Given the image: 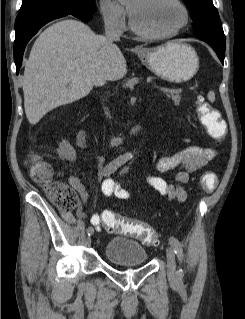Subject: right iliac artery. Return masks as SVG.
Instances as JSON below:
<instances>
[{
    "label": "right iliac artery",
    "mask_w": 245,
    "mask_h": 319,
    "mask_svg": "<svg viewBox=\"0 0 245 319\" xmlns=\"http://www.w3.org/2000/svg\"><path fill=\"white\" fill-rule=\"evenodd\" d=\"M127 156H120L117 159L111 161L109 164H107L103 170V176L107 177L110 176L112 173H114L120 166L125 164L128 161ZM105 189V182H103L102 190ZM105 192V191H104ZM107 194V192H105ZM94 232L92 227H88L87 234L88 236L92 235Z\"/></svg>",
    "instance_id": "82829eb1"
}]
</instances>
